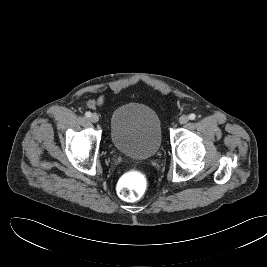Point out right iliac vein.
<instances>
[{
	"mask_svg": "<svg viewBox=\"0 0 267 267\" xmlns=\"http://www.w3.org/2000/svg\"><path fill=\"white\" fill-rule=\"evenodd\" d=\"M90 120H91V122H93V123H97V122L99 121V116H98V114H96V113L92 114L91 117H90Z\"/></svg>",
	"mask_w": 267,
	"mask_h": 267,
	"instance_id": "obj_1",
	"label": "right iliac vein"
}]
</instances>
